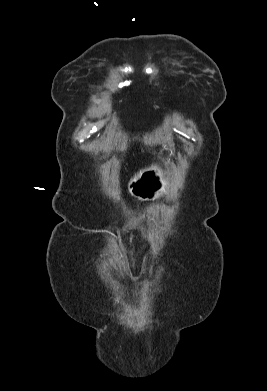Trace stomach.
I'll use <instances>...</instances> for the list:
<instances>
[{"instance_id": "obj_1", "label": "stomach", "mask_w": 267, "mask_h": 391, "mask_svg": "<svg viewBox=\"0 0 267 391\" xmlns=\"http://www.w3.org/2000/svg\"><path fill=\"white\" fill-rule=\"evenodd\" d=\"M170 188V173L157 164L140 170L128 185L130 195L142 201L158 199Z\"/></svg>"}]
</instances>
